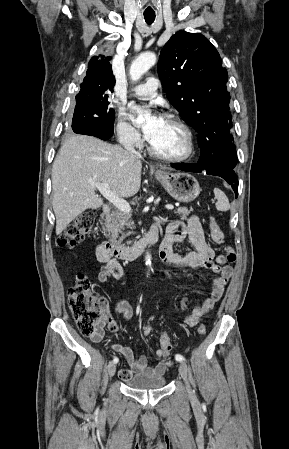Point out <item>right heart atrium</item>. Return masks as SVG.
Returning a JSON list of instances; mask_svg holds the SVG:
<instances>
[{
  "instance_id": "obj_1",
  "label": "right heart atrium",
  "mask_w": 289,
  "mask_h": 449,
  "mask_svg": "<svg viewBox=\"0 0 289 449\" xmlns=\"http://www.w3.org/2000/svg\"><path fill=\"white\" fill-rule=\"evenodd\" d=\"M118 141L126 147H138L141 145L139 132L129 124L124 115L120 114L116 126Z\"/></svg>"
}]
</instances>
